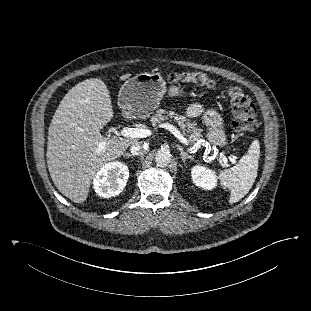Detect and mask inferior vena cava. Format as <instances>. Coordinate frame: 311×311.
Here are the masks:
<instances>
[{
	"label": "inferior vena cava",
	"mask_w": 311,
	"mask_h": 311,
	"mask_svg": "<svg viewBox=\"0 0 311 311\" xmlns=\"http://www.w3.org/2000/svg\"><path fill=\"white\" fill-rule=\"evenodd\" d=\"M130 151L134 155H140L143 154V152H145V148L141 146L139 143H136L130 147Z\"/></svg>",
	"instance_id": "602c4592"
}]
</instances>
